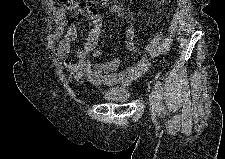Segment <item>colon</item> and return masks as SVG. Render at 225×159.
Segmentation results:
<instances>
[{"label":"colon","mask_w":225,"mask_h":159,"mask_svg":"<svg viewBox=\"0 0 225 159\" xmlns=\"http://www.w3.org/2000/svg\"><path fill=\"white\" fill-rule=\"evenodd\" d=\"M60 3L64 4V5H67L69 3H71L73 0H58ZM98 2H108L110 0H96Z\"/></svg>","instance_id":"1"}]
</instances>
